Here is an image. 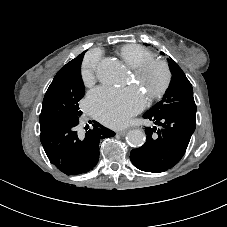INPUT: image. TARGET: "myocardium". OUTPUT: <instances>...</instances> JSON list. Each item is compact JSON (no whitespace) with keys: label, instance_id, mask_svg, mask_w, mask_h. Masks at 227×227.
Returning a JSON list of instances; mask_svg holds the SVG:
<instances>
[{"label":"myocardium","instance_id":"f54148a6","mask_svg":"<svg viewBox=\"0 0 227 227\" xmlns=\"http://www.w3.org/2000/svg\"><path fill=\"white\" fill-rule=\"evenodd\" d=\"M154 69H160L162 71L163 79L161 84L149 96V100L161 98L168 90L172 80V72L169 65L164 60L151 59L133 69L134 77L139 83H141L146 78V76Z\"/></svg>","mask_w":227,"mask_h":227}]
</instances>
